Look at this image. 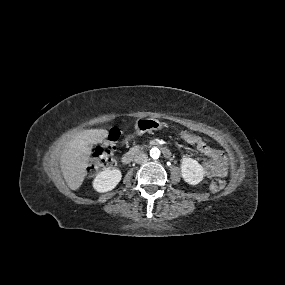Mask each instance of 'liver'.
<instances>
[{"label": "liver", "mask_w": 285, "mask_h": 285, "mask_svg": "<svg viewBox=\"0 0 285 285\" xmlns=\"http://www.w3.org/2000/svg\"><path fill=\"white\" fill-rule=\"evenodd\" d=\"M108 136L105 129H90L80 132L65 149L61 160V171L71 190H77L85 177L91 148Z\"/></svg>", "instance_id": "1"}]
</instances>
